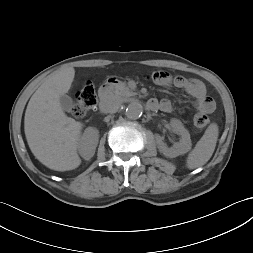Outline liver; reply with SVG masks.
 <instances>
[{
  "mask_svg": "<svg viewBox=\"0 0 253 253\" xmlns=\"http://www.w3.org/2000/svg\"><path fill=\"white\" fill-rule=\"evenodd\" d=\"M74 76L73 67L52 74L32 95L25 112L24 131L31 152L55 171L73 170L81 164L77 147L83 124L68 117L59 102Z\"/></svg>",
  "mask_w": 253,
  "mask_h": 253,
  "instance_id": "6515ba94",
  "label": "liver"
}]
</instances>
